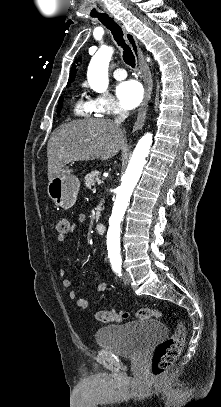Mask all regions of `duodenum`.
<instances>
[{"label":"duodenum","mask_w":221,"mask_h":407,"mask_svg":"<svg viewBox=\"0 0 221 407\" xmlns=\"http://www.w3.org/2000/svg\"><path fill=\"white\" fill-rule=\"evenodd\" d=\"M96 232L98 234H103L105 232V224L102 222H98L96 224Z\"/></svg>","instance_id":"obj_1"}]
</instances>
